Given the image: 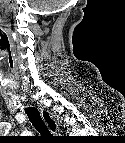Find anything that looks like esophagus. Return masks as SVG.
Listing matches in <instances>:
<instances>
[{"label": "esophagus", "mask_w": 125, "mask_h": 143, "mask_svg": "<svg viewBox=\"0 0 125 143\" xmlns=\"http://www.w3.org/2000/svg\"><path fill=\"white\" fill-rule=\"evenodd\" d=\"M40 114L47 128L52 134H56L59 130L55 117L47 110L40 108Z\"/></svg>", "instance_id": "obj_1"}]
</instances>
